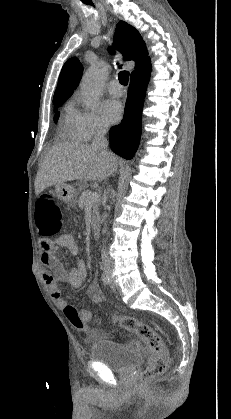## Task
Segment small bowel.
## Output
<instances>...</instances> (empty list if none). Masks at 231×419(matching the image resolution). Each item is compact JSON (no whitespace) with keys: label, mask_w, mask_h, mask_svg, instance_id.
<instances>
[{"label":"small bowel","mask_w":231,"mask_h":419,"mask_svg":"<svg viewBox=\"0 0 231 419\" xmlns=\"http://www.w3.org/2000/svg\"><path fill=\"white\" fill-rule=\"evenodd\" d=\"M40 248L42 251L43 278L55 304L59 308L64 309L67 306V302L62 297L59 284L66 283L75 289L80 288L87 277V265L85 261L80 260L68 270L55 255L61 248L67 249L71 255H77L79 245L70 234L59 235L53 240L42 239L40 240ZM87 296L94 303H100L104 300L103 292L96 281L90 284L87 290ZM79 312L84 317V322L88 323L92 321L93 315L91 311L82 309Z\"/></svg>","instance_id":"c3829d8e"}]
</instances>
